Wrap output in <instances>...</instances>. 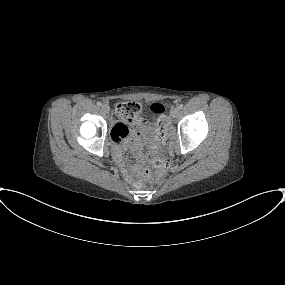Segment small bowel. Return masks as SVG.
Listing matches in <instances>:
<instances>
[{
  "mask_svg": "<svg viewBox=\"0 0 285 285\" xmlns=\"http://www.w3.org/2000/svg\"><path fill=\"white\" fill-rule=\"evenodd\" d=\"M151 133V123L145 117L141 116L132 122V127L125 121L114 125L111 133L112 146L111 151L115 160L122 166V174L127 182L133 179V173L127 167V162L123 159L124 146H130L133 149H139L149 138Z\"/></svg>",
  "mask_w": 285,
  "mask_h": 285,
  "instance_id": "small-bowel-1",
  "label": "small bowel"
}]
</instances>
